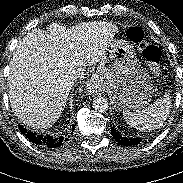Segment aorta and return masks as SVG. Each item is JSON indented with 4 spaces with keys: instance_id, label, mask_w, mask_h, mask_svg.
Here are the masks:
<instances>
[{
    "instance_id": "1",
    "label": "aorta",
    "mask_w": 183,
    "mask_h": 183,
    "mask_svg": "<svg viewBox=\"0 0 183 183\" xmlns=\"http://www.w3.org/2000/svg\"><path fill=\"white\" fill-rule=\"evenodd\" d=\"M108 105L105 97L98 96L93 100V108L98 112H105L108 109Z\"/></svg>"
}]
</instances>
